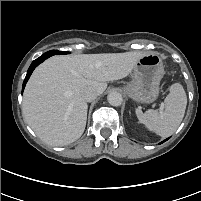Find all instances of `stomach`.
Returning a JSON list of instances; mask_svg holds the SVG:
<instances>
[{"instance_id": "1", "label": "stomach", "mask_w": 201, "mask_h": 201, "mask_svg": "<svg viewBox=\"0 0 201 201\" xmlns=\"http://www.w3.org/2000/svg\"><path fill=\"white\" fill-rule=\"evenodd\" d=\"M164 74V67L158 53H146L135 64L132 81L124 87L126 94L133 100L149 104L159 94V84Z\"/></svg>"}]
</instances>
